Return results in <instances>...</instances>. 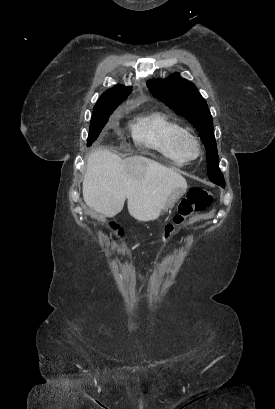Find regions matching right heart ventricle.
I'll return each instance as SVG.
<instances>
[{"label":"right heart ventricle","instance_id":"right-heart-ventricle-1","mask_svg":"<svg viewBox=\"0 0 275 409\" xmlns=\"http://www.w3.org/2000/svg\"><path fill=\"white\" fill-rule=\"evenodd\" d=\"M131 131L136 143L162 157H178L175 142L181 134L186 132L181 124L161 112L138 119L131 125Z\"/></svg>","mask_w":275,"mask_h":409}]
</instances>
